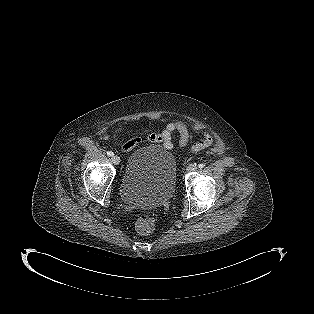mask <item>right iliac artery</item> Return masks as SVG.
Wrapping results in <instances>:
<instances>
[{
    "label": "right iliac artery",
    "instance_id": "obj_1",
    "mask_svg": "<svg viewBox=\"0 0 314 314\" xmlns=\"http://www.w3.org/2000/svg\"><path fill=\"white\" fill-rule=\"evenodd\" d=\"M107 155H108V156H112V155H113V152H112V151H108V152H107Z\"/></svg>",
    "mask_w": 314,
    "mask_h": 314
}]
</instances>
